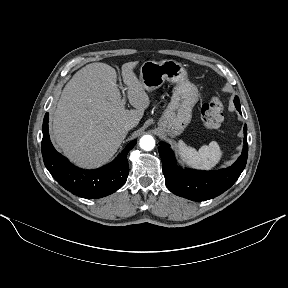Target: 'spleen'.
<instances>
[{"label": "spleen", "instance_id": "obj_1", "mask_svg": "<svg viewBox=\"0 0 288 288\" xmlns=\"http://www.w3.org/2000/svg\"><path fill=\"white\" fill-rule=\"evenodd\" d=\"M178 155L186 165L201 170L214 168L221 160L223 152L217 142L212 141L209 145H203L197 151L187 146L183 141L177 143Z\"/></svg>", "mask_w": 288, "mask_h": 288}]
</instances>
